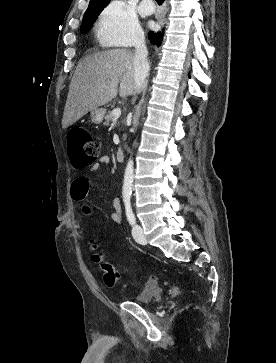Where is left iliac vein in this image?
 Listing matches in <instances>:
<instances>
[{
    "instance_id": "left-iliac-vein-1",
    "label": "left iliac vein",
    "mask_w": 276,
    "mask_h": 363,
    "mask_svg": "<svg viewBox=\"0 0 276 363\" xmlns=\"http://www.w3.org/2000/svg\"><path fill=\"white\" fill-rule=\"evenodd\" d=\"M132 236H133L134 240L139 244L145 245L147 243L146 238L143 233V229L138 224L133 226Z\"/></svg>"
}]
</instances>
